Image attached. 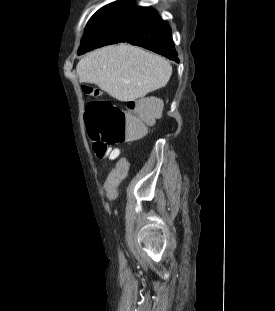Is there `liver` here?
<instances>
[{"mask_svg": "<svg viewBox=\"0 0 275 311\" xmlns=\"http://www.w3.org/2000/svg\"><path fill=\"white\" fill-rule=\"evenodd\" d=\"M76 72L80 82L95 84L119 101L128 102L164 87L172 67L161 56L120 44L87 54Z\"/></svg>", "mask_w": 275, "mask_h": 311, "instance_id": "liver-1", "label": "liver"}]
</instances>
